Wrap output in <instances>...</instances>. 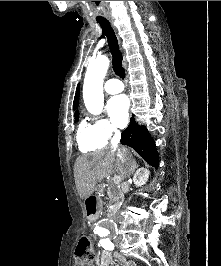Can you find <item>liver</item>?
<instances>
[{
  "instance_id": "liver-1",
  "label": "liver",
  "mask_w": 221,
  "mask_h": 266,
  "mask_svg": "<svg viewBox=\"0 0 221 266\" xmlns=\"http://www.w3.org/2000/svg\"><path fill=\"white\" fill-rule=\"evenodd\" d=\"M113 168L121 179L125 178V166L114 149L106 148L79 156L74 165V178L80 198L86 200L99 181L112 175Z\"/></svg>"
}]
</instances>
